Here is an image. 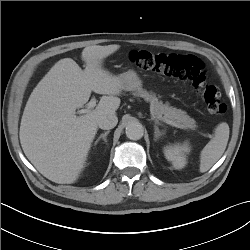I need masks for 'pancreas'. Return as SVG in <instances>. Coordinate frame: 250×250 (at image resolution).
Segmentation results:
<instances>
[{"mask_svg":"<svg viewBox=\"0 0 250 250\" xmlns=\"http://www.w3.org/2000/svg\"><path fill=\"white\" fill-rule=\"evenodd\" d=\"M135 95L140 96L146 101L150 102V112L157 119L161 121L167 119L187 129L195 130L197 128L195 120L191 118L185 111L170 106L169 103L163 104V102L159 101L154 94H150L146 90L139 89L135 92Z\"/></svg>","mask_w":250,"mask_h":250,"instance_id":"obj_1","label":"pancreas"}]
</instances>
